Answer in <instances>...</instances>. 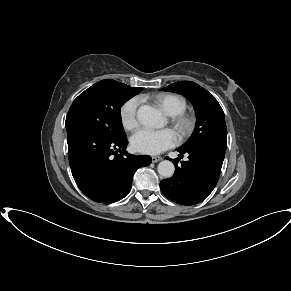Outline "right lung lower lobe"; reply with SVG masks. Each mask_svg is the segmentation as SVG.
Here are the masks:
<instances>
[{"label": "right lung lower lobe", "instance_id": "1", "mask_svg": "<svg viewBox=\"0 0 291 291\" xmlns=\"http://www.w3.org/2000/svg\"><path fill=\"white\" fill-rule=\"evenodd\" d=\"M71 172L91 200L110 204L130 191L135 171L151 163L150 156L125 152L127 138L109 140L85 130H67ZM121 151L120 154L117 152Z\"/></svg>", "mask_w": 291, "mask_h": 291}]
</instances>
